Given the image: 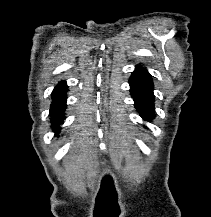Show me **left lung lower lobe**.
<instances>
[{"instance_id": "obj_1", "label": "left lung lower lobe", "mask_w": 211, "mask_h": 217, "mask_svg": "<svg viewBox=\"0 0 211 217\" xmlns=\"http://www.w3.org/2000/svg\"><path fill=\"white\" fill-rule=\"evenodd\" d=\"M129 84L135 108L144 120L150 122L155 117L152 76L146 69L137 66L130 77Z\"/></svg>"}]
</instances>
